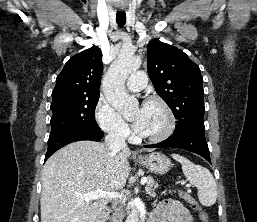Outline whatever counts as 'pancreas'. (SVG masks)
Returning a JSON list of instances; mask_svg holds the SVG:
<instances>
[{
    "label": "pancreas",
    "mask_w": 257,
    "mask_h": 222,
    "mask_svg": "<svg viewBox=\"0 0 257 222\" xmlns=\"http://www.w3.org/2000/svg\"><path fill=\"white\" fill-rule=\"evenodd\" d=\"M146 194H148L151 197H156V192H155V182L152 178L148 179V183L146 185Z\"/></svg>",
    "instance_id": "pancreas-1"
}]
</instances>
